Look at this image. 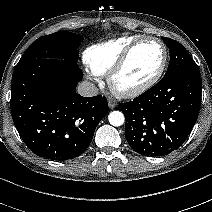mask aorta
<instances>
[{
	"instance_id": "1",
	"label": "aorta",
	"mask_w": 212,
	"mask_h": 212,
	"mask_svg": "<svg viewBox=\"0 0 212 212\" xmlns=\"http://www.w3.org/2000/svg\"><path fill=\"white\" fill-rule=\"evenodd\" d=\"M108 121L112 126L119 127L123 125L125 117L121 111H112L108 115Z\"/></svg>"
}]
</instances>
